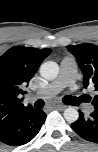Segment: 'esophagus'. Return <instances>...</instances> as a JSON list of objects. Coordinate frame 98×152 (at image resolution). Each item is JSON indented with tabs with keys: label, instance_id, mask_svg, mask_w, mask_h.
I'll return each instance as SVG.
<instances>
[{
	"label": "esophagus",
	"instance_id": "obj_1",
	"mask_svg": "<svg viewBox=\"0 0 98 152\" xmlns=\"http://www.w3.org/2000/svg\"><path fill=\"white\" fill-rule=\"evenodd\" d=\"M66 106L60 103H52L49 105L50 109L63 110Z\"/></svg>",
	"mask_w": 98,
	"mask_h": 152
}]
</instances>
